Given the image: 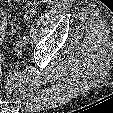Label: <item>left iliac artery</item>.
Here are the masks:
<instances>
[{"mask_svg": "<svg viewBox=\"0 0 113 113\" xmlns=\"http://www.w3.org/2000/svg\"><path fill=\"white\" fill-rule=\"evenodd\" d=\"M23 39L25 40L26 44L28 43V38L23 37Z\"/></svg>", "mask_w": 113, "mask_h": 113, "instance_id": "obj_1", "label": "left iliac artery"}]
</instances>
